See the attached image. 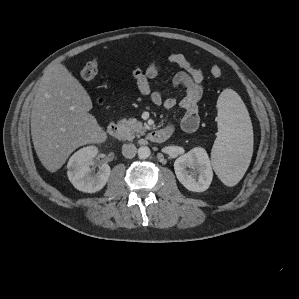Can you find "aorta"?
Listing matches in <instances>:
<instances>
[{"label": "aorta", "mask_w": 299, "mask_h": 299, "mask_svg": "<svg viewBox=\"0 0 299 299\" xmlns=\"http://www.w3.org/2000/svg\"><path fill=\"white\" fill-rule=\"evenodd\" d=\"M151 154L150 148L147 146H141L138 149V157L140 159H147Z\"/></svg>", "instance_id": "762f6f07"}]
</instances>
